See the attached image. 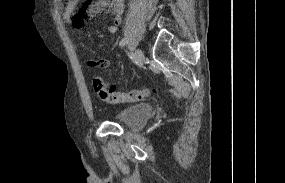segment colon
<instances>
[{"instance_id":"5ec220e1","label":"colon","mask_w":285,"mask_h":183,"mask_svg":"<svg viewBox=\"0 0 285 183\" xmlns=\"http://www.w3.org/2000/svg\"><path fill=\"white\" fill-rule=\"evenodd\" d=\"M92 86L97 96L108 104L131 103L144 100L151 94L148 88L119 91L108 85L100 76L92 77Z\"/></svg>"}]
</instances>
